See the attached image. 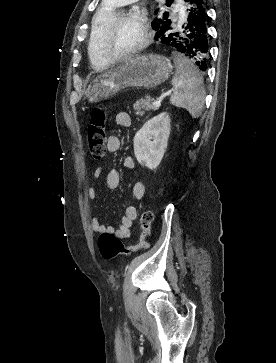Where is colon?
Wrapping results in <instances>:
<instances>
[{
	"label": "colon",
	"instance_id": "colon-1",
	"mask_svg": "<svg viewBox=\"0 0 276 363\" xmlns=\"http://www.w3.org/2000/svg\"><path fill=\"white\" fill-rule=\"evenodd\" d=\"M106 124L107 114L104 109L102 107L93 108L87 124L88 146L92 157L97 160L103 159L106 154ZM152 221L153 212L148 208L143 209L140 215L142 231L140 247L142 249L150 246ZM98 245L102 257L106 260L130 253V249L117 236L110 233H102L99 236Z\"/></svg>",
	"mask_w": 276,
	"mask_h": 363
}]
</instances>
